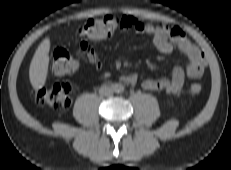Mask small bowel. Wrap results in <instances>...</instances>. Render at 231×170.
<instances>
[{
  "label": "small bowel",
  "instance_id": "obj_1",
  "mask_svg": "<svg viewBox=\"0 0 231 170\" xmlns=\"http://www.w3.org/2000/svg\"><path fill=\"white\" fill-rule=\"evenodd\" d=\"M121 30H134L139 36L151 37L155 47L162 53H171L174 48L181 51L187 58V65L182 67L175 65L171 69L170 78L146 79L142 82L143 89L151 92H165L168 94L178 93L185 81V78H198L205 69L206 61L199 48L190 42L184 31L174 26L145 24L133 16H123L121 18ZM81 49L88 57L89 61L100 66V60L95 50L90 46L87 39H82ZM125 83L135 85L137 76L129 74L121 77Z\"/></svg>",
  "mask_w": 231,
  "mask_h": 170
}]
</instances>
